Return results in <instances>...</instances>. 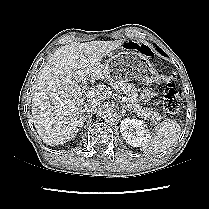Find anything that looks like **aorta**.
<instances>
[{
	"instance_id": "obj_1",
	"label": "aorta",
	"mask_w": 209,
	"mask_h": 209,
	"mask_svg": "<svg viewBox=\"0 0 209 209\" xmlns=\"http://www.w3.org/2000/svg\"><path fill=\"white\" fill-rule=\"evenodd\" d=\"M102 118L106 123H114L118 120L119 113L115 109L109 108L103 112Z\"/></svg>"
}]
</instances>
